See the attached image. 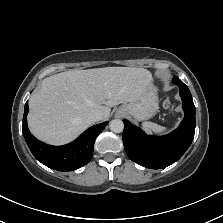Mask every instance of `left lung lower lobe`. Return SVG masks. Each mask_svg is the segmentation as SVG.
<instances>
[{
    "label": "left lung lower lobe",
    "mask_w": 223,
    "mask_h": 223,
    "mask_svg": "<svg viewBox=\"0 0 223 223\" xmlns=\"http://www.w3.org/2000/svg\"><path fill=\"white\" fill-rule=\"evenodd\" d=\"M180 88L185 117L180 126L165 136H147L140 128L124 119L123 144L128 157L151 169L165 168L178 161L191 145L195 133V106L188 87L174 80Z\"/></svg>",
    "instance_id": "left-lung-lower-lobe-1"
}]
</instances>
